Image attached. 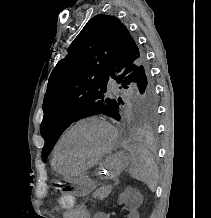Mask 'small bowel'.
I'll use <instances>...</instances> for the list:
<instances>
[{
	"mask_svg": "<svg viewBox=\"0 0 211 218\" xmlns=\"http://www.w3.org/2000/svg\"><path fill=\"white\" fill-rule=\"evenodd\" d=\"M126 214L124 218H139V213L135 208L124 207ZM72 218H90V213L85 205H78L75 207L73 211L70 212V216ZM93 218H109V213L106 212H98Z\"/></svg>",
	"mask_w": 211,
	"mask_h": 218,
	"instance_id": "obj_1",
	"label": "small bowel"
}]
</instances>
